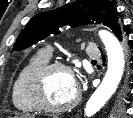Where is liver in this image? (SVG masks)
Segmentation results:
<instances>
[{
	"instance_id": "6515ba94",
	"label": "liver",
	"mask_w": 133,
	"mask_h": 118,
	"mask_svg": "<svg viewBox=\"0 0 133 118\" xmlns=\"http://www.w3.org/2000/svg\"><path fill=\"white\" fill-rule=\"evenodd\" d=\"M16 118H34V116L28 115V114H22V115H18Z\"/></svg>"
}]
</instances>
